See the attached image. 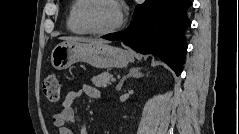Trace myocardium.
Returning a JSON list of instances; mask_svg holds the SVG:
<instances>
[{"label": "myocardium", "mask_w": 239, "mask_h": 134, "mask_svg": "<svg viewBox=\"0 0 239 134\" xmlns=\"http://www.w3.org/2000/svg\"><path fill=\"white\" fill-rule=\"evenodd\" d=\"M96 1H99V0H84L82 5L80 6L79 13H78V20H79V23L81 24V26L83 27V29L87 33L92 34V35H97V36L108 35V34L114 33L117 30H119L121 28V26L123 25L124 17H123V13H122L119 3L115 0H108V1H111L113 4H115L117 6V8L119 10L118 21L113 26H111L110 28H107V29H96L93 26H91V24L88 20L87 13H88L89 8Z\"/></svg>", "instance_id": "f54148a6"}]
</instances>
